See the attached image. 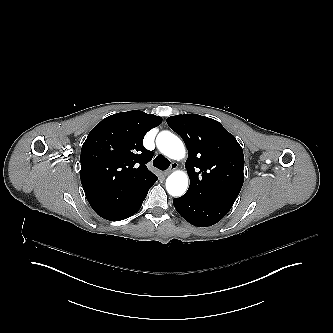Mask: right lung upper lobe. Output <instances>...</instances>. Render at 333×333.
Returning a JSON list of instances; mask_svg holds the SVG:
<instances>
[{"label":"right lung upper lobe","instance_id":"1","mask_svg":"<svg viewBox=\"0 0 333 333\" xmlns=\"http://www.w3.org/2000/svg\"><path fill=\"white\" fill-rule=\"evenodd\" d=\"M161 122V117L138 110L104 118L82 145L81 173L99 168L113 179L150 172L146 163L153 152L144 148L143 138Z\"/></svg>","mask_w":333,"mask_h":333}]
</instances>
